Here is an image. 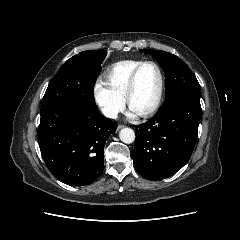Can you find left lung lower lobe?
Instances as JSON below:
<instances>
[{
  "mask_svg": "<svg viewBox=\"0 0 240 240\" xmlns=\"http://www.w3.org/2000/svg\"><path fill=\"white\" fill-rule=\"evenodd\" d=\"M201 116L200 95L184 94L163 104L136 128L133 160L139 174L162 180L179 171L193 152Z\"/></svg>",
  "mask_w": 240,
  "mask_h": 240,
  "instance_id": "obj_1",
  "label": "left lung lower lobe"
}]
</instances>
